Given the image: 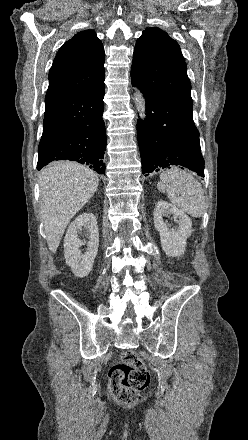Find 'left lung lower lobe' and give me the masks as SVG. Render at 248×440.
Masks as SVG:
<instances>
[{
  "instance_id": "obj_1",
  "label": "left lung lower lobe",
  "mask_w": 248,
  "mask_h": 440,
  "mask_svg": "<svg viewBox=\"0 0 248 440\" xmlns=\"http://www.w3.org/2000/svg\"><path fill=\"white\" fill-rule=\"evenodd\" d=\"M131 79L146 100V119L137 122L142 173L177 165L204 177L199 132L192 113L161 92L145 87L132 73Z\"/></svg>"
}]
</instances>
